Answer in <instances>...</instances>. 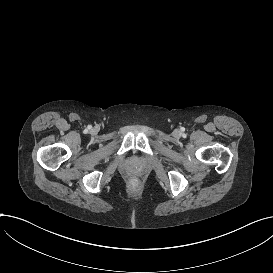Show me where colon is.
Returning a JSON list of instances; mask_svg holds the SVG:
<instances>
[{
    "instance_id": "obj_1",
    "label": "colon",
    "mask_w": 273,
    "mask_h": 273,
    "mask_svg": "<svg viewBox=\"0 0 273 273\" xmlns=\"http://www.w3.org/2000/svg\"><path fill=\"white\" fill-rule=\"evenodd\" d=\"M142 185V181L140 178L133 176L127 182V188L129 191L137 193L140 191Z\"/></svg>"
}]
</instances>
